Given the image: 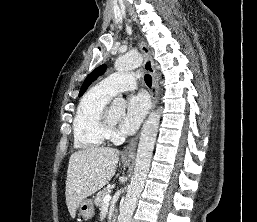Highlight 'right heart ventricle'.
I'll return each mask as SVG.
<instances>
[{
    "label": "right heart ventricle",
    "instance_id": "e07e8e85",
    "mask_svg": "<svg viewBox=\"0 0 257 222\" xmlns=\"http://www.w3.org/2000/svg\"><path fill=\"white\" fill-rule=\"evenodd\" d=\"M112 96L94 87L80 100L73 120L74 143L80 149L101 147L108 137L103 127V113Z\"/></svg>",
    "mask_w": 257,
    "mask_h": 222
}]
</instances>
